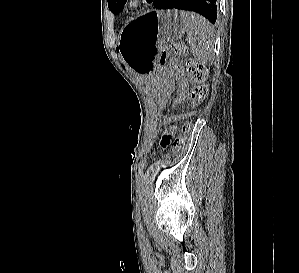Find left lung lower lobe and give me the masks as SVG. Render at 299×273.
Instances as JSON below:
<instances>
[{
  "instance_id": "0a47b994",
  "label": "left lung lower lobe",
  "mask_w": 299,
  "mask_h": 273,
  "mask_svg": "<svg viewBox=\"0 0 299 273\" xmlns=\"http://www.w3.org/2000/svg\"><path fill=\"white\" fill-rule=\"evenodd\" d=\"M217 0H153L156 9H181L194 11L206 17L211 23L216 22Z\"/></svg>"
}]
</instances>
